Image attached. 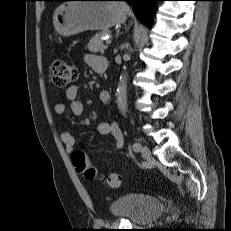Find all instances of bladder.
I'll return each instance as SVG.
<instances>
[{"label": "bladder", "instance_id": "1", "mask_svg": "<svg viewBox=\"0 0 231 231\" xmlns=\"http://www.w3.org/2000/svg\"><path fill=\"white\" fill-rule=\"evenodd\" d=\"M112 216L126 218L133 224H149L163 212V203L149 195L126 194L109 205Z\"/></svg>", "mask_w": 231, "mask_h": 231}]
</instances>
